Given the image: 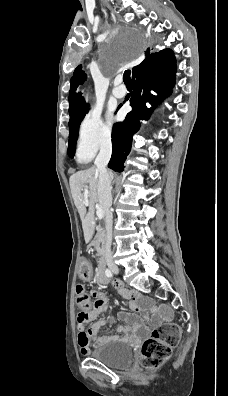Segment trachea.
Instances as JSON below:
<instances>
[{
	"label": "trachea",
	"instance_id": "trachea-1",
	"mask_svg": "<svg viewBox=\"0 0 228 396\" xmlns=\"http://www.w3.org/2000/svg\"><path fill=\"white\" fill-rule=\"evenodd\" d=\"M130 75H131V71H130V70H126V71L124 72L123 80H124V83H125L126 85L132 83V80H131Z\"/></svg>",
	"mask_w": 228,
	"mask_h": 396
}]
</instances>
